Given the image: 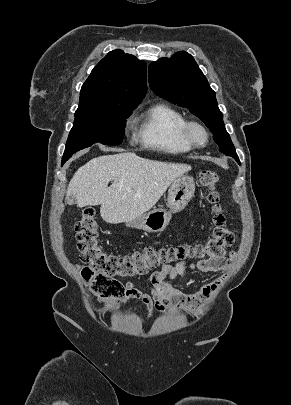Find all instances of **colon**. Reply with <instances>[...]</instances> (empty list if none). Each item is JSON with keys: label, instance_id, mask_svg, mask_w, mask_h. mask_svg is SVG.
I'll list each match as a JSON object with an SVG mask.
<instances>
[{"label": "colon", "instance_id": "5ec220e1", "mask_svg": "<svg viewBox=\"0 0 291 405\" xmlns=\"http://www.w3.org/2000/svg\"><path fill=\"white\" fill-rule=\"evenodd\" d=\"M218 180V174L211 169H203L199 173L200 184L209 190L207 200L214 213V229L204 244L162 247L149 245L123 256L110 254L100 245L95 211H83L74 227L80 259L86 264L81 268V276L89 289L107 302L108 309L112 308V301L124 297L125 288L119 278L143 275L161 265L187 258L224 256L226 249L234 242V235L226 226L225 215L219 204L220 193L216 188Z\"/></svg>", "mask_w": 291, "mask_h": 405}]
</instances>
